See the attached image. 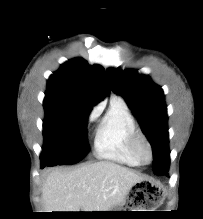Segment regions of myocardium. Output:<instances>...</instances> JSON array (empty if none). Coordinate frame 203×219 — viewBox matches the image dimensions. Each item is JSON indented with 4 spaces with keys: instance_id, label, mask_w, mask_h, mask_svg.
Instances as JSON below:
<instances>
[{
    "instance_id": "1",
    "label": "myocardium",
    "mask_w": 203,
    "mask_h": 219,
    "mask_svg": "<svg viewBox=\"0 0 203 219\" xmlns=\"http://www.w3.org/2000/svg\"><path fill=\"white\" fill-rule=\"evenodd\" d=\"M131 146L132 150L137 157V159L141 162V164H149L152 162L154 157V152L152 145L148 138L142 133L140 130H136L131 137ZM142 147H145L148 151L149 158L145 159L142 154Z\"/></svg>"
}]
</instances>
